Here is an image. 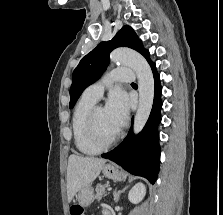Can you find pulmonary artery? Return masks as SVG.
Returning <instances> with one entry per match:
<instances>
[{"mask_svg":"<svg viewBox=\"0 0 223 215\" xmlns=\"http://www.w3.org/2000/svg\"><path fill=\"white\" fill-rule=\"evenodd\" d=\"M108 75L103 77L97 83L89 86L85 92L84 96L98 101L105 89V86L112 82H122L131 83L132 78H134L133 69H126V65H117V69H109Z\"/></svg>","mask_w":223,"mask_h":215,"instance_id":"obj_1","label":"pulmonary artery"}]
</instances>
